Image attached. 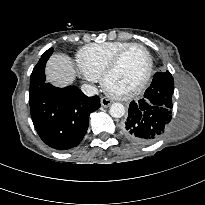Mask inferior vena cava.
Returning a JSON list of instances; mask_svg holds the SVG:
<instances>
[{"label":"inferior vena cava","instance_id":"602c4592","mask_svg":"<svg viewBox=\"0 0 205 205\" xmlns=\"http://www.w3.org/2000/svg\"><path fill=\"white\" fill-rule=\"evenodd\" d=\"M81 90L87 96H94L98 94V89L95 86L89 84H83L81 86Z\"/></svg>","mask_w":205,"mask_h":205}]
</instances>
